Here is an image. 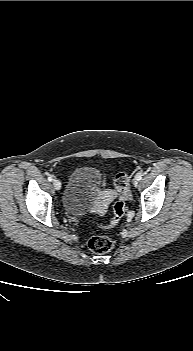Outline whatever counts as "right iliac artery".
I'll use <instances>...</instances> for the list:
<instances>
[{"label":"right iliac artery","instance_id":"1","mask_svg":"<svg viewBox=\"0 0 193 351\" xmlns=\"http://www.w3.org/2000/svg\"><path fill=\"white\" fill-rule=\"evenodd\" d=\"M53 180V177L50 175V176H48V181H52Z\"/></svg>","mask_w":193,"mask_h":351}]
</instances>
